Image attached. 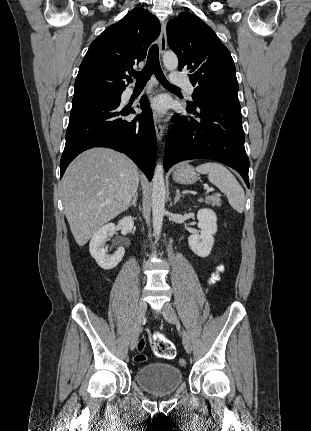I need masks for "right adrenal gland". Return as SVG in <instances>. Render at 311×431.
<instances>
[{"label":"right adrenal gland","instance_id":"obj_1","mask_svg":"<svg viewBox=\"0 0 311 431\" xmlns=\"http://www.w3.org/2000/svg\"><path fill=\"white\" fill-rule=\"evenodd\" d=\"M137 198H138V194H135V196H133V200H132L131 204H129V206H127V208H125L124 212H126V210H129V208H131V206H134V208H136Z\"/></svg>","mask_w":311,"mask_h":431}]
</instances>
